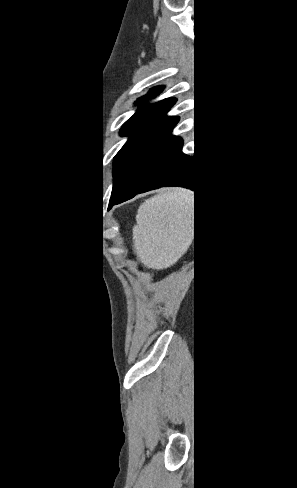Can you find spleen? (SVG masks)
Segmentation results:
<instances>
[{"mask_svg":"<svg viewBox=\"0 0 297 488\" xmlns=\"http://www.w3.org/2000/svg\"><path fill=\"white\" fill-rule=\"evenodd\" d=\"M191 204L190 192L168 190L140 205L133 240L135 253L146 267L167 268L184 253Z\"/></svg>","mask_w":297,"mask_h":488,"instance_id":"spleen-1","label":"spleen"}]
</instances>
